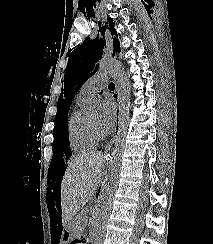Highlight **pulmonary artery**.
<instances>
[{"mask_svg":"<svg viewBox=\"0 0 213 244\" xmlns=\"http://www.w3.org/2000/svg\"><path fill=\"white\" fill-rule=\"evenodd\" d=\"M108 78L104 73H97L90 77L81 87L78 95L81 98H88L107 86Z\"/></svg>","mask_w":213,"mask_h":244,"instance_id":"obj_1","label":"pulmonary artery"}]
</instances>
